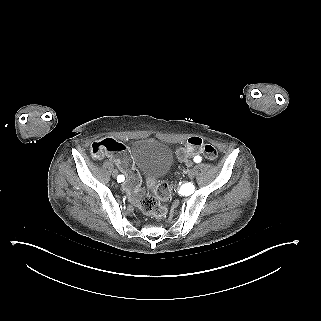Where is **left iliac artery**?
<instances>
[{"label": "left iliac artery", "instance_id": "left-iliac-artery-1", "mask_svg": "<svg viewBox=\"0 0 321 321\" xmlns=\"http://www.w3.org/2000/svg\"><path fill=\"white\" fill-rule=\"evenodd\" d=\"M194 161H195L196 163H199V162H201V157H199V156H196V157H195V159H194Z\"/></svg>", "mask_w": 321, "mask_h": 321}]
</instances>
